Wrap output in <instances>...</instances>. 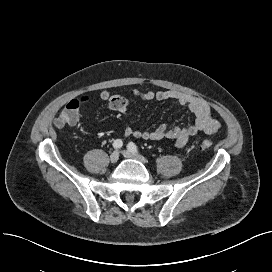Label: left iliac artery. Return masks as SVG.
Returning a JSON list of instances; mask_svg holds the SVG:
<instances>
[{"instance_id": "left-iliac-artery-1", "label": "left iliac artery", "mask_w": 272, "mask_h": 272, "mask_svg": "<svg viewBox=\"0 0 272 272\" xmlns=\"http://www.w3.org/2000/svg\"><path fill=\"white\" fill-rule=\"evenodd\" d=\"M128 149L133 153H138V148L133 142L128 144Z\"/></svg>"}]
</instances>
